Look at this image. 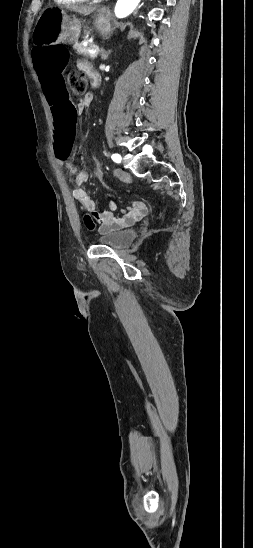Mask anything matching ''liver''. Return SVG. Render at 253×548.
I'll return each instance as SVG.
<instances>
[{
    "label": "liver",
    "instance_id": "1",
    "mask_svg": "<svg viewBox=\"0 0 253 548\" xmlns=\"http://www.w3.org/2000/svg\"><path fill=\"white\" fill-rule=\"evenodd\" d=\"M72 10L74 12H77L79 14H82L84 16H87L95 11L94 7H87V6H81V7H73Z\"/></svg>",
    "mask_w": 253,
    "mask_h": 548
}]
</instances>
